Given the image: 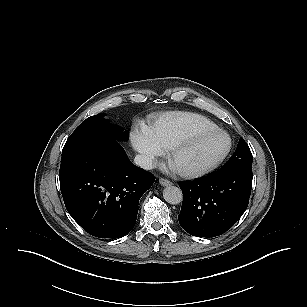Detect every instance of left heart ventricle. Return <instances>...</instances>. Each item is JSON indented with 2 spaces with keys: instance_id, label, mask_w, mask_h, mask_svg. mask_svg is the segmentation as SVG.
I'll return each instance as SVG.
<instances>
[{
  "instance_id": "left-heart-ventricle-1",
  "label": "left heart ventricle",
  "mask_w": 307,
  "mask_h": 307,
  "mask_svg": "<svg viewBox=\"0 0 307 307\" xmlns=\"http://www.w3.org/2000/svg\"><path fill=\"white\" fill-rule=\"evenodd\" d=\"M226 146L227 139L223 135H215L180 153L171 160V164L176 169L199 166L215 159Z\"/></svg>"
}]
</instances>
